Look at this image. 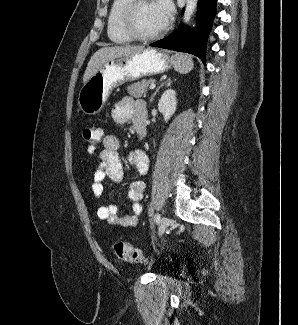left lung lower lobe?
<instances>
[{"mask_svg":"<svg viewBox=\"0 0 298 325\" xmlns=\"http://www.w3.org/2000/svg\"><path fill=\"white\" fill-rule=\"evenodd\" d=\"M196 27L190 29L180 25L169 36L150 44L153 47L187 52L201 58L205 64L206 42L216 14L217 0H198Z\"/></svg>","mask_w":298,"mask_h":325,"instance_id":"0a47b994","label":"left lung lower lobe"}]
</instances>
